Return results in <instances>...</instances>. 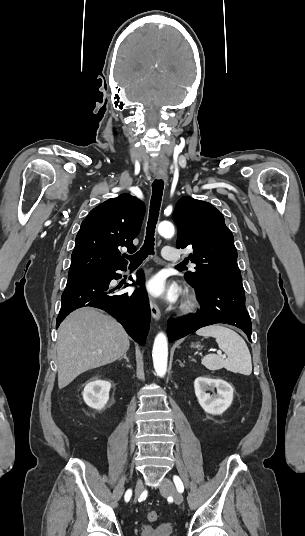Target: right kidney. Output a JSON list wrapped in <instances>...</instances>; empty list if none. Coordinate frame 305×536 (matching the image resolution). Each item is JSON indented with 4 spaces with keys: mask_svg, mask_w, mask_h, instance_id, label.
<instances>
[{
    "mask_svg": "<svg viewBox=\"0 0 305 536\" xmlns=\"http://www.w3.org/2000/svg\"><path fill=\"white\" fill-rule=\"evenodd\" d=\"M110 388V382L91 378L82 392L85 404L90 408H95V410H102L109 400Z\"/></svg>",
    "mask_w": 305,
    "mask_h": 536,
    "instance_id": "obj_1",
    "label": "right kidney"
}]
</instances>
